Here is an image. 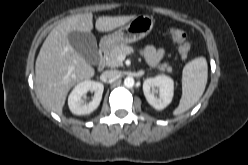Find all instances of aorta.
<instances>
[{
    "label": "aorta",
    "mask_w": 248,
    "mask_h": 165,
    "mask_svg": "<svg viewBox=\"0 0 248 165\" xmlns=\"http://www.w3.org/2000/svg\"><path fill=\"white\" fill-rule=\"evenodd\" d=\"M135 84L134 78L133 77H126L124 79V86L127 88H132Z\"/></svg>",
    "instance_id": "1"
}]
</instances>
